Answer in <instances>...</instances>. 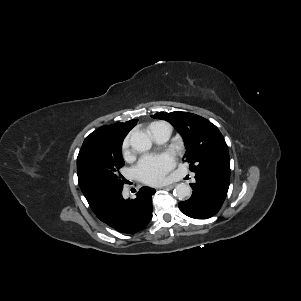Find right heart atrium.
I'll use <instances>...</instances> for the list:
<instances>
[{
  "label": "right heart atrium",
  "instance_id": "right-heart-atrium-1",
  "mask_svg": "<svg viewBox=\"0 0 301 301\" xmlns=\"http://www.w3.org/2000/svg\"><path fill=\"white\" fill-rule=\"evenodd\" d=\"M122 154L125 159H129L131 157L129 136L125 137V139L123 140Z\"/></svg>",
  "mask_w": 301,
  "mask_h": 301
}]
</instances>
